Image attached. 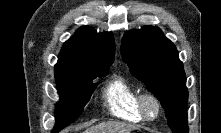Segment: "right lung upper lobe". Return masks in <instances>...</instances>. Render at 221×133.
Listing matches in <instances>:
<instances>
[{"label":"right lung upper lobe","mask_w":221,"mask_h":133,"mask_svg":"<svg viewBox=\"0 0 221 133\" xmlns=\"http://www.w3.org/2000/svg\"><path fill=\"white\" fill-rule=\"evenodd\" d=\"M114 55L112 33H97L89 26L81 27L63 45L54 68L55 75L91 65L112 64Z\"/></svg>","instance_id":"obj_1"}]
</instances>
